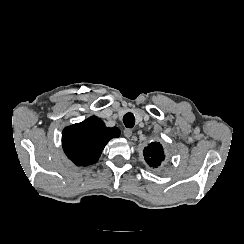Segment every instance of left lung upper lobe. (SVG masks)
I'll return each instance as SVG.
<instances>
[{
	"label": "left lung upper lobe",
	"mask_w": 244,
	"mask_h": 244,
	"mask_svg": "<svg viewBox=\"0 0 244 244\" xmlns=\"http://www.w3.org/2000/svg\"><path fill=\"white\" fill-rule=\"evenodd\" d=\"M144 158L150 167H158L164 160L163 147L159 142H151L143 151Z\"/></svg>",
	"instance_id": "1"
}]
</instances>
